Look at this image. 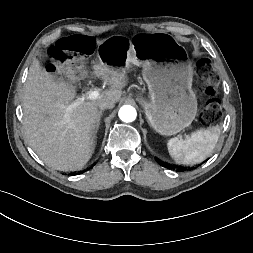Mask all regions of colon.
<instances>
[{
  "label": "colon",
  "instance_id": "colon-1",
  "mask_svg": "<svg viewBox=\"0 0 253 253\" xmlns=\"http://www.w3.org/2000/svg\"><path fill=\"white\" fill-rule=\"evenodd\" d=\"M93 49L94 41L91 37L74 35L59 40L53 54L58 65L66 68L70 66L81 67L83 61L93 52ZM197 72L200 84L208 98L201 113L202 119L206 123H216L222 116L221 105L216 97L219 76L211 71L207 59H200L197 62Z\"/></svg>",
  "mask_w": 253,
  "mask_h": 253
}]
</instances>
